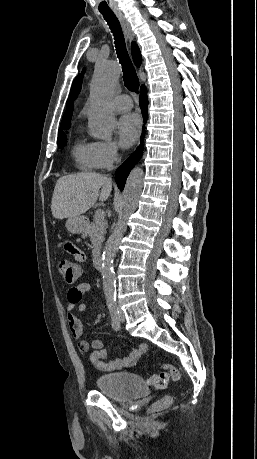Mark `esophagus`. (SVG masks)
Masks as SVG:
<instances>
[{
  "label": "esophagus",
  "mask_w": 257,
  "mask_h": 459,
  "mask_svg": "<svg viewBox=\"0 0 257 459\" xmlns=\"http://www.w3.org/2000/svg\"><path fill=\"white\" fill-rule=\"evenodd\" d=\"M115 14H116L117 18L120 21V24H121V26L123 28V31H124V34H125V37H126V41H127L128 45L130 47L131 42L135 40L134 32L131 29V26H130L129 22L126 20V18L124 17V15L122 14L121 11L116 10Z\"/></svg>",
  "instance_id": "1"
}]
</instances>
